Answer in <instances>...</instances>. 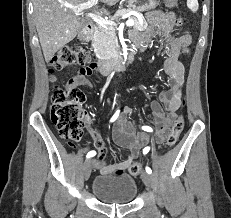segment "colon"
<instances>
[{
  "mask_svg": "<svg viewBox=\"0 0 231 218\" xmlns=\"http://www.w3.org/2000/svg\"><path fill=\"white\" fill-rule=\"evenodd\" d=\"M168 7H176L178 0H165ZM184 19L179 17L177 24L182 25ZM92 62L91 55L83 49L66 45L59 49L49 61L51 72L61 71L73 66H87ZM83 69V68H82ZM85 95L72 81L65 85H56L52 93L51 119L59 131L61 138L73 144L80 140L83 127L87 120L86 112L83 108ZM184 128V118L179 116L174 121L171 131L166 139V146L173 147ZM132 175L142 172L140 162H132L128 167Z\"/></svg>",
  "mask_w": 231,
  "mask_h": 218,
  "instance_id": "colon-1",
  "label": "colon"
}]
</instances>
